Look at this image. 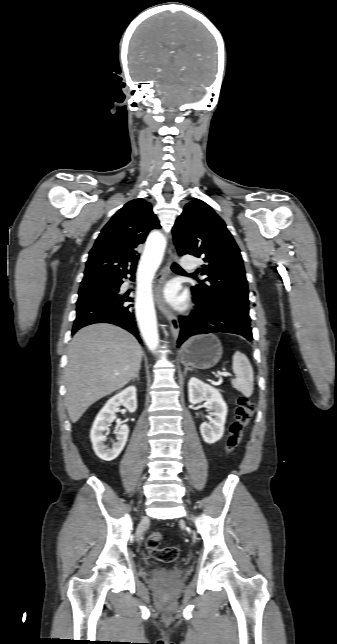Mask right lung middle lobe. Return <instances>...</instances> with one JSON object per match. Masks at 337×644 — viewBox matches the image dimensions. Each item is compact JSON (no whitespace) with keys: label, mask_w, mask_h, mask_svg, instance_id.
<instances>
[{"label":"right lung middle lobe","mask_w":337,"mask_h":644,"mask_svg":"<svg viewBox=\"0 0 337 644\" xmlns=\"http://www.w3.org/2000/svg\"><path fill=\"white\" fill-rule=\"evenodd\" d=\"M116 279H99L82 282L77 304L85 303L114 292Z\"/></svg>","instance_id":"right-lung-middle-lobe-1"}]
</instances>
